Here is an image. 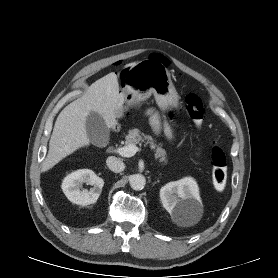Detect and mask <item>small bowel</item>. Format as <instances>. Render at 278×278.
Returning a JSON list of instances; mask_svg holds the SVG:
<instances>
[{
    "label": "small bowel",
    "instance_id": "1",
    "mask_svg": "<svg viewBox=\"0 0 278 278\" xmlns=\"http://www.w3.org/2000/svg\"><path fill=\"white\" fill-rule=\"evenodd\" d=\"M147 115L149 116L153 129L155 131H158L159 130V118H158L157 113L153 110H148Z\"/></svg>",
    "mask_w": 278,
    "mask_h": 278
}]
</instances>
